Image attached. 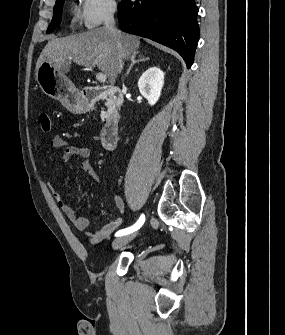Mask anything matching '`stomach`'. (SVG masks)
<instances>
[{"mask_svg":"<svg viewBox=\"0 0 285 335\" xmlns=\"http://www.w3.org/2000/svg\"><path fill=\"white\" fill-rule=\"evenodd\" d=\"M36 80L44 94L53 100H59L65 104L68 110L82 112L85 104L79 90L74 84L61 74L59 68H55L51 62L45 60L36 70Z\"/></svg>","mask_w":285,"mask_h":335,"instance_id":"stomach-1","label":"stomach"}]
</instances>
